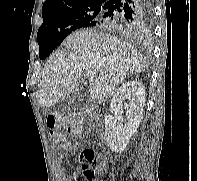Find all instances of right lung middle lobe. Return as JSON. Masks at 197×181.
I'll return each mask as SVG.
<instances>
[{"mask_svg":"<svg viewBox=\"0 0 197 181\" xmlns=\"http://www.w3.org/2000/svg\"><path fill=\"white\" fill-rule=\"evenodd\" d=\"M103 12V5H92L43 18V24L37 33L40 59H45L71 32L88 27Z\"/></svg>","mask_w":197,"mask_h":181,"instance_id":"right-lung-middle-lobe-1","label":"right lung middle lobe"}]
</instances>
